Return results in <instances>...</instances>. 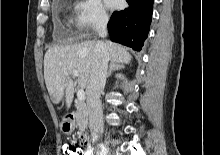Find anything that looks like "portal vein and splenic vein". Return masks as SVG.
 I'll use <instances>...</instances> for the list:
<instances>
[{"label":"portal vein and splenic vein","instance_id":"18ae733b","mask_svg":"<svg viewBox=\"0 0 220 155\" xmlns=\"http://www.w3.org/2000/svg\"><path fill=\"white\" fill-rule=\"evenodd\" d=\"M71 74L75 77L79 75L76 69L71 70ZM77 98L79 101H83L85 99V92L82 88L77 91Z\"/></svg>","mask_w":220,"mask_h":155}]
</instances>
